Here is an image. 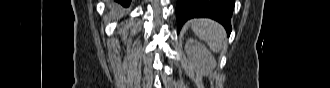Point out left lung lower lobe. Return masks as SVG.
Instances as JSON below:
<instances>
[{"label": "left lung lower lobe", "mask_w": 330, "mask_h": 88, "mask_svg": "<svg viewBox=\"0 0 330 88\" xmlns=\"http://www.w3.org/2000/svg\"><path fill=\"white\" fill-rule=\"evenodd\" d=\"M234 5L235 0H177V33L187 20L208 17L221 23L229 36L232 30L231 16Z\"/></svg>", "instance_id": "0a47b994"}]
</instances>
